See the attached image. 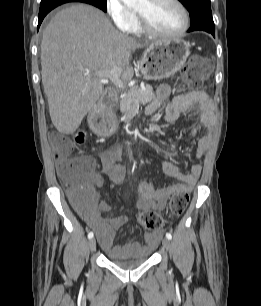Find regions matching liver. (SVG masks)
Wrapping results in <instances>:
<instances>
[{
    "label": "liver",
    "mask_w": 261,
    "mask_h": 306,
    "mask_svg": "<svg viewBox=\"0 0 261 306\" xmlns=\"http://www.w3.org/2000/svg\"><path fill=\"white\" fill-rule=\"evenodd\" d=\"M148 45L120 33L93 6L75 4L56 13L41 42L42 84L56 129L74 133L104 93L97 73L121 68L122 80L130 81L131 53Z\"/></svg>",
    "instance_id": "liver-1"
}]
</instances>
